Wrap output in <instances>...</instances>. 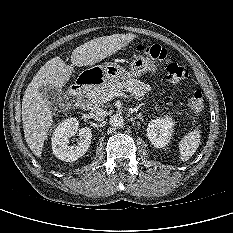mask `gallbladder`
Returning a JSON list of instances; mask_svg holds the SVG:
<instances>
[{
    "label": "gallbladder",
    "mask_w": 233,
    "mask_h": 233,
    "mask_svg": "<svg viewBox=\"0 0 233 233\" xmlns=\"http://www.w3.org/2000/svg\"><path fill=\"white\" fill-rule=\"evenodd\" d=\"M39 90L53 109L63 111L69 108L70 100L60 88L52 85H43Z\"/></svg>",
    "instance_id": "gallbladder-1"
}]
</instances>
